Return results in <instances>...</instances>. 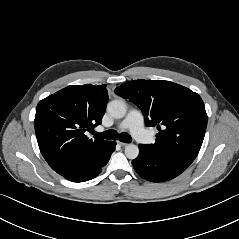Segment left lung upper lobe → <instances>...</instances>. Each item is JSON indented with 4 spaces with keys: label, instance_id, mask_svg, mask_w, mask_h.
Segmentation results:
<instances>
[{
    "label": "left lung upper lobe",
    "instance_id": "obj_1",
    "mask_svg": "<svg viewBox=\"0 0 239 239\" xmlns=\"http://www.w3.org/2000/svg\"><path fill=\"white\" fill-rule=\"evenodd\" d=\"M115 93L139 106L147 126H157L156 142L147 148L189 165L194 161L207 127L197 93L170 81L143 79L124 83Z\"/></svg>",
    "mask_w": 239,
    "mask_h": 239
}]
</instances>
